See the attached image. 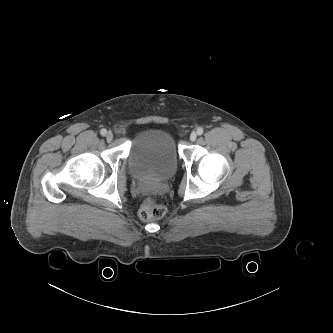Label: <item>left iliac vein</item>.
<instances>
[{"label": "left iliac vein", "mask_w": 333, "mask_h": 333, "mask_svg": "<svg viewBox=\"0 0 333 333\" xmlns=\"http://www.w3.org/2000/svg\"><path fill=\"white\" fill-rule=\"evenodd\" d=\"M196 138H197V134H196V132H192V133L190 134V140H191V141H195Z\"/></svg>", "instance_id": "left-iliac-vein-1"}]
</instances>
